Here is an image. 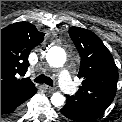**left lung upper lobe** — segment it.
I'll return each instance as SVG.
<instances>
[{"label": "left lung upper lobe", "instance_id": "5c2ea615", "mask_svg": "<svg viewBox=\"0 0 122 122\" xmlns=\"http://www.w3.org/2000/svg\"><path fill=\"white\" fill-rule=\"evenodd\" d=\"M69 35L81 56L78 77L82 86L75 100L105 111L116 94L118 70L114 59L101 39L80 27H71Z\"/></svg>", "mask_w": 122, "mask_h": 122}]
</instances>
